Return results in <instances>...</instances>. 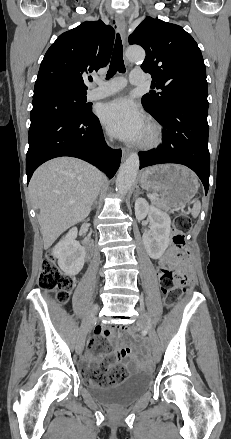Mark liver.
<instances>
[{
  "instance_id": "obj_1",
  "label": "liver",
  "mask_w": 231,
  "mask_h": 439,
  "mask_svg": "<svg viewBox=\"0 0 231 439\" xmlns=\"http://www.w3.org/2000/svg\"><path fill=\"white\" fill-rule=\"evenodd\" d=\"M102 174L80 159L59 157L41 165L29 183L44 249L90 213L103 183Z\"/></svg>"
}]
</instances>
